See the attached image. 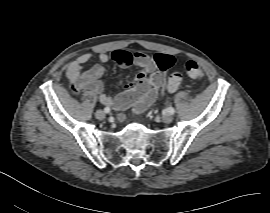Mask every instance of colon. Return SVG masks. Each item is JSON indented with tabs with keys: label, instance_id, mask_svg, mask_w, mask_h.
Here are the masks:
<instances>
[{
	"label": "colon",
	"instance_id": "obj_1",
	"mask_svg": "<svg viewBox=\"0 0 270 213\" xmlns=\"http://www.w3.org/2000/svg\"><path fill=\"white\" fill-rule=\"evenodd\" d=\"M138 53H135L134 55H137ZM133 55V56H134ZM111 57L114 58L115 60H117L118 62H126L129 63L132 59V55L129 54L126 51H122V50H118L115 51L111 54ZM154 60L158 61L160 64H162L164 67H168L171 64V58L168 56H161V55H157ZM186 71L187 74L195 80H201L204 77V71L201 68V66L199 64H197L194 61H188L186 63ZM144 74H141V76H143ZM182 82V77L180 75V73H173L171 74V76L168 79L167 82V88L170 91L176 90L180 84ZM139 97L138 92H131L127 95L124 96V99L127 102H135Z\"/></svg>",
	"mask_w": 270,
	"mask_h": 213
}]
</instances>
